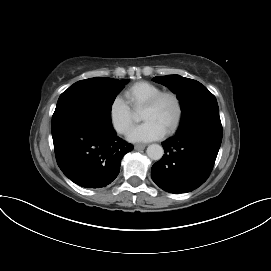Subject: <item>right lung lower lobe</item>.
I'll list each match as a JSON object with an SVG mask.
<instances>
[{"instance_id": "obj_1", "label": "right lung lower lobe", "mask_w": 271, "mask_h": 271, "mask_svg": "<svg viewBox=\"0 0 271 271\" xmlns=\"http://www.w3.org/2000/svg\"><path fill=\"white\" fill-rule=\"evenodd\" d=\"M57 164L74 183L86 188L110 184L123 156L133 150L101 118L65 124L52 131Z\"/></svg>"}]
</instances>
